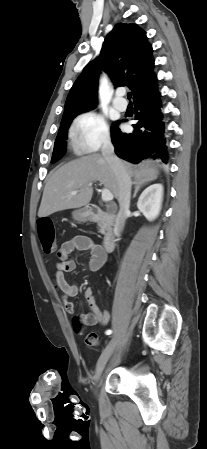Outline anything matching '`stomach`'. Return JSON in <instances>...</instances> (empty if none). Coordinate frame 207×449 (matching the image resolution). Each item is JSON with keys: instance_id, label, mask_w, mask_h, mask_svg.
<instances>
[{"instance_id": "stomach-1", "label": "stomach", "mask_w": 207, "mask_h": 449, "mask_svg": "<svg viewBox=\"0 0 207 449\" xmlns=\"http://www.w3.org/2000/svg\"><path fill=\"white\" fill-rule=\"evenodd\" d=\"M72 217L77 222H85V221L89 220L90 212L86 207L80 208V209L74 210L72 212Z\"/></svg>"}]
</instances>
